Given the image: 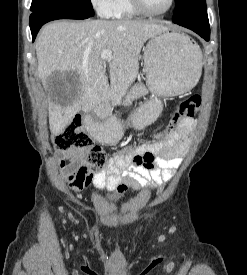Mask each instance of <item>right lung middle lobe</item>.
<instances>
[{
	"mask_svg": "<svg viewBox=\"0 0 247 275\" xmlns=\"http://www.w3.org/2000/svg\"><path fill=\"white\" fill-rule=\"evenodd\" d=\"M49 9L66 10L88 16L94 15L90 0H32L31 11L36 12Z\"/></svg>",
	"mask_w": 247,
	"mask_h": 275,
	"instance_id": "right-lung-middle-lobe-1",
	"label": "right lung middle lobe"
}]
</instances>
